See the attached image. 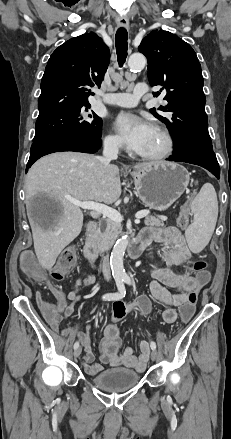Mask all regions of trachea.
Segmentation results:
<instances>
[{
    "label": "trachea",
    "mask_w": 231,
    "mask_h": 439,
    "mask_svg": "<svg viewBox=\"0 0 231 439\" xmlns=\"http://www.w3.org/2000/svg\"><path fill=\"white\" fill-rule=\"evenodd\" d=\"M128 35L127 30L124 27H120L115 36V45L119 66L122 67L127 58L128 50Z\"/></svg>",
    "instance_id": "trachea-1"
}]
</instances>
